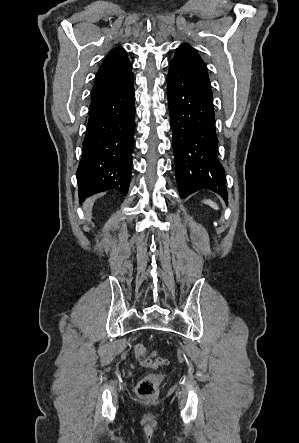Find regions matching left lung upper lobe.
<instances>
[{"label": "left lung upper lobe", "instance_id": "5c2ea615", "mask_svg": "<svg viewBox=\"0 0 299 443\" xmlns=\"http://www.w3.org/2000/svg\"><path fill=\"white\" fill-rule=\"evenodd\" d=\"M171 61L178 63L197 78L210 84L207 67L196 50L191 46L182 44L177 48L174 59Z\"/></svg>", "mask_w": 299, "mask_h": 443}]
</instances>
